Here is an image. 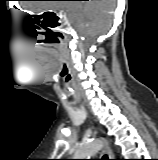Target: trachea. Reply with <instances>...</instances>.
<instances>
[{
    "mask_svg": "<svg viewBox=\"0 0 158 160\" xmlns=\"http://www.w3.org/2000/svg\"><path fill=\"white\" fill-rule=\"evenodd\" d=\"M102 160H109L108 156L105 155Z\"/></svg>",
    "mask_w": 158,
    "mask_h": 160,
    "instance_id": "obj_1",
    "label": "trachea"
}]
</instances>
